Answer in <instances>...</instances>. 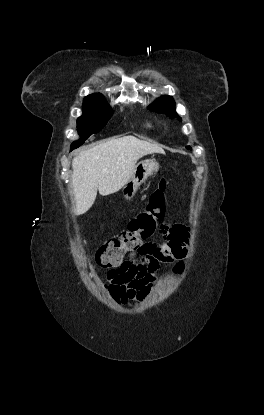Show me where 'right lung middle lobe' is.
<instances>
[{"mask_svg": "<svg viewBox=\"0 0 264 415\" xmlns=\"http://www.w3.org/2000/svg\"><path fill=\"white\" fill-rule=\"evenodd\" d=\"M112 115V109L105 99L83 101V114L77 119L80 140L71 145V150L79 147L91 134L99 132Z\"/></svg>", "mask_w": 264, "mask_h": 415, "instance_id": "dd1d6c3e", "label": "right lung middle lobe"}]
</instances>
